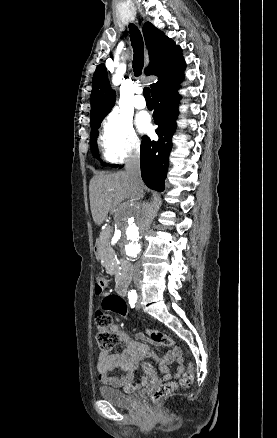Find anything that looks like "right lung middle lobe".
I'll list each match as a JSON object with an SVG mask.
<instances>
[{
    "mask_svg": "<svg viewBox=\"0 0 277 438\" xmlns=\"http://www.w3.org/2000/svg\"><path fill=\"white\" fill-rule=\"evenodd\" d=\"M100 123L101 121H95V122H91V136H90V147H91V151L94 155L95 158H98V149H97V145H96V139L98 136V128L100 127ZM103 165H106L105 163H103Z\"/></svg>",
    "mask_w": 277,
    "mask_h": 438,
    "instance_id": "1",
    "label": "right lung middle lobe"
}]
</instances>
